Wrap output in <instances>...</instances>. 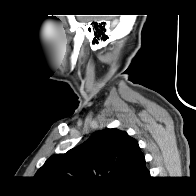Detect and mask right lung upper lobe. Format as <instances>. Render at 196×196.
<instances>
[{
  "label": "right lung upper lobe",
  "mask_w": 196,
  "mask_h": 196,
  "mask_svg": "<svg viewBox=\"0 0 196 196\" xmlns=\"http://www.w3.org/2000/svg\"><path fill=\"white\" fill-rule=\"evenodd\" d=\"M147 175L137 141L125 131L113 128L95 132L65 154L51 156L35 177L52 185L92 184L99 180L112 185H132Z\"/></svg>",
  "instance_id": "right-lung-upper-lobe-1"
}]
</instances>
